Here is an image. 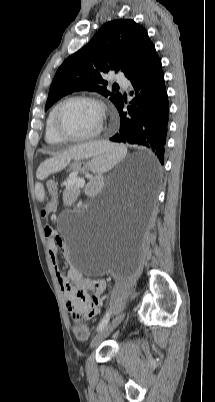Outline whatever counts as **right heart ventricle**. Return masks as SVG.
<instances>
[{"label": "right heart ventricle", "mask_w": 215, "mask_h": 402, "mask_svg": "<svg viewBox=\"0 0 215 402\" xmlns=\"http://www.w3.org/2000/svg\"><path fill=\"white\" fill-rule=\"evenodd\" d=\"M55 107L52 108L50 111L47 120H46V128H45V140L47 143L52 144V145H57L63 143L65 140L61 139L54 131L53 129V112H54Z\"/></svg>", "instance_id": "right-heart-ventricle-1"}]
</instances>
